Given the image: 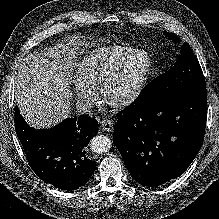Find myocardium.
Instances as JSON below:
<instances>
[{"label": "myocardium", "mask_w": 219, "mask_h": 219, "mask_svg": "<svg viewBox=\"0 0 219 219\" xmlns=\"http://www.w3.org/2000/svg\"><path fill=\"white\" fill-rule=\"evenodd\" d=\"M144 55L148 59V67L139 82L136 89L126 98L119 100V101H111L107 98L108 91L110 89L111 84L113 83L114 79L118 75L120 69L122 66L128 62L129 60L135 58L136 56ZM154 71V62L153 58L150 55V53L144 49H135L122 58H120L107 72L105 77L103 78L101 84H100V95L102 100L111 108L115 110H124L135 104L138 99L142 96L143 92L145 91L148 82L151 78V75Z\"/></svg>", "instance_id": "obj_1"}]
</instances>
